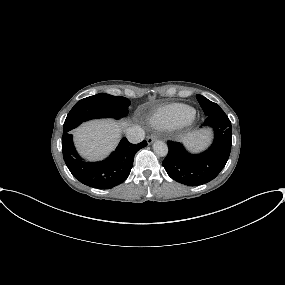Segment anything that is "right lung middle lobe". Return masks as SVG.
I'll return each instance as SVG.
<instances>
[{
    "mask_svg": "<svg viewBox=\"0 0 285 285\" xmlns=\"http://www.w3.org/2000/svg\"><path fill=\"white\" fill-rule=\"evenodd\" d=\"M129 99L109 94H96L78 101L66 117L63 133L74 129L82 122L112 117L119 119L128 113Z\"/></svg>",
    "mask_w": 285,
    "mask_h": 285,
    "instance_id": "obj_1",
    "label": "right lung middle lobe"
}]
</instances>
